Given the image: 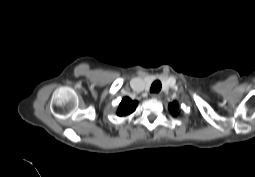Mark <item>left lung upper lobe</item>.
<instances>
[{
  "instance_id": "1",
  "label": "left lung upper lobe",
  "mask_w": 255,
  "mask_h": 177,
  "mask_svg": "<svg viewBox=\"0 0 255 177\" xmlns=\"http://www.w3.org/2000/svg\"><path fill=\"white\" fill-rule=\"evenodd\" d=\"M168 108L173 116H177L180 113L179 106L176 101L170 103Z\"/></svg>"
}]
</instances>
